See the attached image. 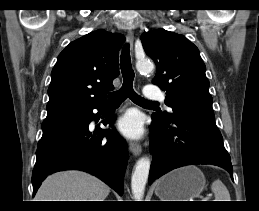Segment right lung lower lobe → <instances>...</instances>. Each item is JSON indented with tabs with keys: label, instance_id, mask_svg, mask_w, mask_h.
<instances>
[{
	"label": "right lung lower lobe",
	"instance_id": "1",
	"mask_svg": "<svg viewBox=\"0 0 259 211\" xmlns=\"http://www.w3.org/2000/svg\"><path fill=\"white\" fill-rule=\"evenodd\" d=\"M96 109L103 113L105 105ZM114 119L111 112L104 124H112ZM92 120H98L93 109L43 121L32 174L33 196L48 175L68 169L88 172L123 195L127 144L116 130H89Z\"/></svg>",
	"mask_w": 259,
	"mask_h": 211
}]
</instances>
